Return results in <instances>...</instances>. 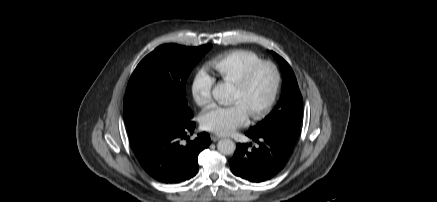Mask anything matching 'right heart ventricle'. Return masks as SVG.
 Wrapping results in <instances>:
<instances>
[{"label": "right heart ventricle", "instance_id": "1", "mask_svg": "<svg viewBox=\"0 0 437 202\" xmlns=\"http://www.w3.org/2000/svg\"><path fill=\"white\" fill-rule=\"evenodd\" d=\"M260 60L252 51L236 49L215 56L208 62V66L216 72L221 81L234 83L251 65Z\"/></svg>", "mask_w": 437, "mask_h": 202}]
</instances>
